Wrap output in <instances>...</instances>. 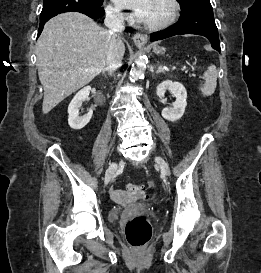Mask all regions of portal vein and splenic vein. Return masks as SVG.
Wrapping results in <instances>:
<instances>
[{"label": "portal vein and splenic vein", "mask_w": 261, "mask_h": 273, "mask_svg": "<svg viewBox=\"0 0 261 273\" xmlns=\"http://www.w3.org/2000/svg\"><path fill=\"white\" fill-rule=\"evenodd\" d=\"M182 70L185 71V72H187L186 71V67H183ZM85 71L88 72V71H90V69H85Z\"/></svg>", "instance_id": "1"}]
</instances>
